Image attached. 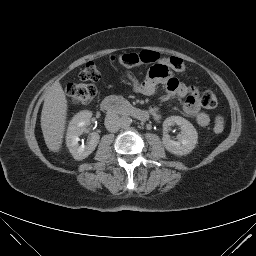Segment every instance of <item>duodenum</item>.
Listing matches in <instances>:
<instances>
[{"mask_svg": "<svg viewBox=\"0 0 256 256\" xmlns=\"http://www.w3.org/2000/svg\"><path fill=\"white\" fill-rule=\"evenodd\" d=\"M101 109L109 113L132 116L141 121H145L149 117V114L145 110L115 96L106 97L101 102Z\"/></svg>", "mask_w": 256, "mask_h": 256, "instance_id": "duodenum-1", "label": "duodenum"}]
</instances>
